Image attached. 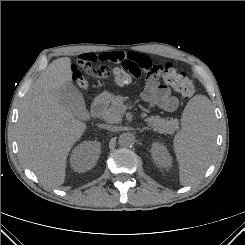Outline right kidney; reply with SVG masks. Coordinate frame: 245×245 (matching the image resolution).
<instances>
[{"instance_id": "1", "label": "right kidney", "mask_w": 245, "mask_h": 245, "mask_svg": "<svg viewBox=\"0 0 245 245\" xmlns=\"http://www.w3.org/2000/svg\"><path fill=\"white\" fill-rule=\"evenodd\" d=\"M101 153V144L98 141H85L74 148L71 153V167L76 172H86L95 166Z\"/></svg>"}]
</instances>
